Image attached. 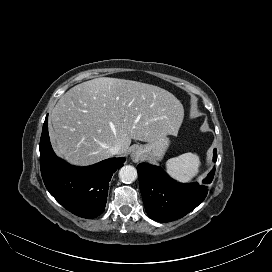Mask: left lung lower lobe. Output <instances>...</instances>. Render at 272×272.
I'll return each mask as SVG.
<instances>
[{"label":"left lung lower lobe","instance_id":"obj_1","mask_svg":"<svg viewBox=\"0 0 272 272\" xmlns=\"http://www.w3.org/2000/svg\"><path fill=\"white\" fill-rule=\"evenodd\" d=\"M213 160H217L214 149ZM143 203L149 217L159 222H170L182 218L196 208L206 197V185L182 184L168 176L162 168L148 163L137 166ZM215 168L204 179L211 183Z\"/></svg>","mask_w":272,"mask_h":272}]
</instances>
